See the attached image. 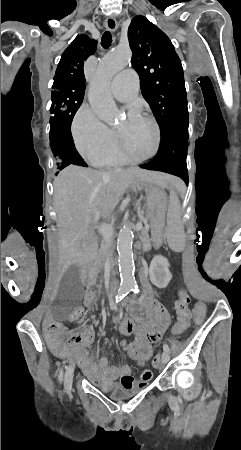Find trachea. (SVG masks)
<instances>
[{"instance_id":"obj_1","label":"trachea","mask_w":241,"mask_h":450,"mask_svg":"<svg viewBox=\"0 0 241 450\" xmlns=\"http://www.w3.org/2000/svg\"><path fill=\"white\" fill-rule=\"evenodd\" d=\"M112 43V35L110 32H104L103 36L101 38V45L103 48H109L111 46Z\"/></svg>"}]
</instances>
